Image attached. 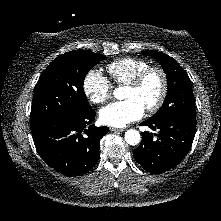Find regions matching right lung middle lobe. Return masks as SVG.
<instances>
[{
    "instance_id": "obj_1",
    "label": "right lung middle lobe",
    "mask_w": 221,
    "mask_h": 221,
    "mask_svg": "<svg viewBox=\"0 0 221 221\" xmlns=\"http://www.w3.org/2000/svg\"><path fill=\"white\" fill-rule=\"evenodd\" d=\"M105 56L71 51L54 59L40 76L31 107V131L53 118L81 115L92 108L83 89L85 76Z\"/></svg>"
}]
</instances>
